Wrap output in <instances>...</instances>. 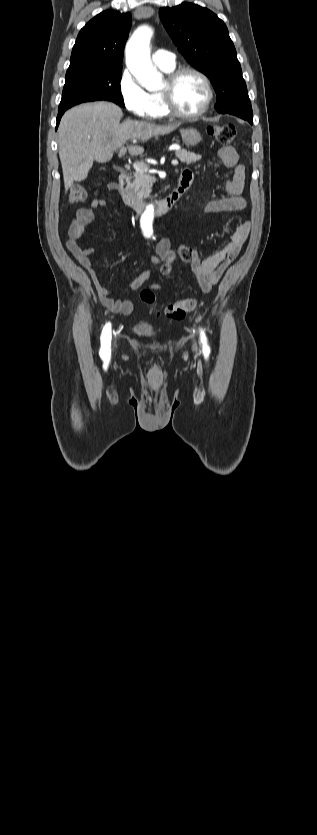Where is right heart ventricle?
<instances>
[{
  "mask_svg": "<svg viewBox=\"0 0 317 835\" xmlns=\"http://www.w3.org/2000/svg\"><path fill=\"white\" fill-rule=\"evenodd\" d=\"M161 69L166 73H170L174 70V68H171V69L161 68ZM150 97H151L153 107H154V117L155 118H161V117L169 115V111L166 107V104H165V101L162 97L161 92L150 93Z\"/></svg>",
  "mask_w": 317,
  "mask_h": 835,
  "instance_id": "right-heart-ventricle-1",
  "label": "right heart ventricle"
}]
</instances>
